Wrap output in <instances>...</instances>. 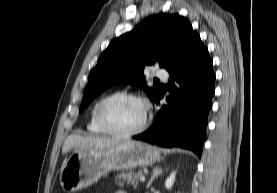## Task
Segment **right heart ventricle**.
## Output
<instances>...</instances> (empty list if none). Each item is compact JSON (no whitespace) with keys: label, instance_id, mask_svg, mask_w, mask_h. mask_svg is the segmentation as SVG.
<instances>
[{"label":"right heart ventricle","instance_id":"obj_1","mask_svg":"<svg viewBox=\"0 0 277 193\" xmlns=\"http://www.w3.org/2000/svg\"><path fill=\"white\" fill-rule=\"evenodd\" d=\"M112 95V94H111ZM110 96V95H107ZM105 96V97H107ZM105 97H102L98 99L91 107L89 112V118L87 122V130L92 134H103L104 132L100 129V127L97 125L96 119H95V111L96 107L99 104V102L104 99Z\"/></svg>","mask_w":277,"mask_h":193}]
</instances>
